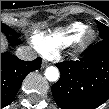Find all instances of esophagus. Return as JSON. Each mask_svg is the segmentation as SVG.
I'll return each mask as SVG.
<instances>
[{"label":"esophagus","instance_id":"34e87169","mask_svg":"<svg viewBox=\"0 0 109 109\" xmlns=\"http://www.w3.org/2000/svg\"><path fill=\"white\" fill-rule=\"evenodd\" d=\"M49 65V63L47 61H43L42 62V68H45Z\"/></svg>","mask_w":109,"mask_h":109}]
</instances>
